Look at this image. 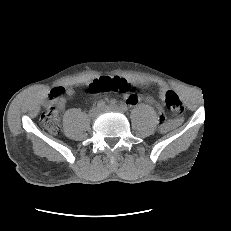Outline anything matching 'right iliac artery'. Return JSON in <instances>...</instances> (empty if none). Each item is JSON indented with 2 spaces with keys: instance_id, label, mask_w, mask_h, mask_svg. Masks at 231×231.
Instances as JSON below:
<instances>
[{
  "instance_id": "1",
  "label": "right iliac artery",
  "mask_w": 231,
  "mask_h": 231,
  "mask_svg": "<svg viewBox=\"0 0 231 231\" xmlns=\"http://www.w3.org/2000/svg\"><path fill=\"white\" fill-rule=\"evenodd\" d=\"M97 107L99 108V109H103L104 107H105V102L104 101H99L98 103H97Z\"/></svg>"
}]
</instances>
